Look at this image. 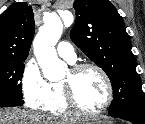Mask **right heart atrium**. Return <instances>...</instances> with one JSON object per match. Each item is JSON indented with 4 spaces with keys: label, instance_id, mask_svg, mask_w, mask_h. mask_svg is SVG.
<instances>
[{
    "label": "right heart atrium",
    "instance_id": "1",
    "mask_svg": "<svg viewBox=\"0 0 145 124\" xmlns=\"http://www.w3.org/2000/svg\"><path fill=\"white\" fill-rule=\"evenodd\" d=\"M21 90L25 101L33 108L39 109L49 99V83L34 59L28 60L23 68Z\"/></svg>",
    "mask_w": 145,
    "mask_h": 124
}]
</instances>
